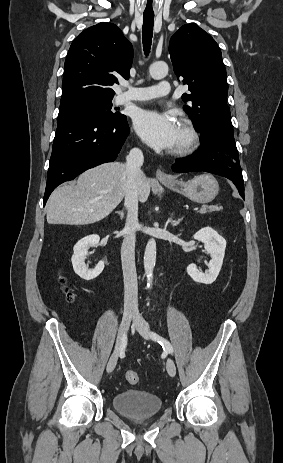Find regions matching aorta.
I'll return each mask as SVG.
<instances>
[{
	"label": "aorta",
	"instance_id": "obj_1",
	"mask_svg": "<svg viewBox=\"0 0 283 463\" xmlns=\"http://www.w3.org/2000/svg\"><path fill=\"white\" fill-rule=\"evenodd\" d=\"M149 73L153 79H163L168 74V65L165 62H155L151 64ZM156 263V241L150 239L146 245L144 254V270L147 278V286L152 285L153 270Z\"/></svg>",
	"mask_w": 283,
	"mask_h": 463
}]
</instances>
